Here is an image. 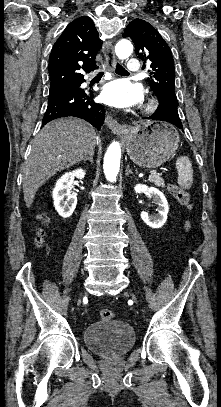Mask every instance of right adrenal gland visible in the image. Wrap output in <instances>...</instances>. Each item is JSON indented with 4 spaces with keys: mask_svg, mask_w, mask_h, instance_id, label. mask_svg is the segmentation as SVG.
Returning <instances> with one entry per match:
<instances>
[{
    "mask_svg": "<svg viewBox=\"0 0 221 407\" xmlns=\"http://www.w3.org/2000/svg\"><path fill=\"white\" fill-rule=\"evenodd\" d=\"M93 156H94V153H92L89 157L85 158L83 161L84 162L85 161H90L93 164Z\"/></svg>",
    "mask_w": 221,
    "mask_h": 407,
    "instance_id": "2a0ac1e0",
    "label": "right adrenal gland"
}]
</instances>
